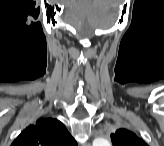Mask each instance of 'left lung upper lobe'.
<instances>
[{"label":"left lung upper lobe","mask_w":164,"mask_h":146,"mask_svg":"<svg viewBox=\"0 0 164 146\" xmlns=\"http://www.w3.org/2000/svg\"><path fill=\"white\" fill-rule=\"evenodd\" d=\"M114 146H145V142L133 132L121 128L111 134Z\"/></svg>","instance_id":"5c2ea615"}]
</instances>
